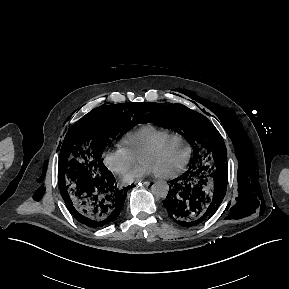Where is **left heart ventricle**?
<instances>
[{
    "instance_id": "left-heart-ventricle-1",
    "label": "left heart ventricle",
    "mask_w": 289,
    "mask_h": 289,
    "mask_svg": "<svg viewBox=\"0 0 289 289\" xmlns=\"http://www.w3.org/2000/svg\"><path fill=\"white\" fill-rule=\"evenodd\" d=\"M187 156V147L179 139H170L155 152L144 156L141 162L149 164L156 174L171 173L179 169Z\"/></svg>"
}]
</instances>
